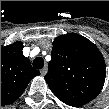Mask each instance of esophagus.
<instances>
[{
	"label": "esophagus",
	"instance_id": "esophagus-1",
	"mask_svg": "<svg viewBox=\"0 0 109 109\" xmlns=\"http://www.w3.org/2000/svg\"><path fill=\"white\" fill-rule=\"evenodd\" d=\"M46 67H44L42 70H40L41 75L43 76L46 73Z\"/></svg>",
	"mask_w": 109,
	"mask_h": 109
}]
</instances>
